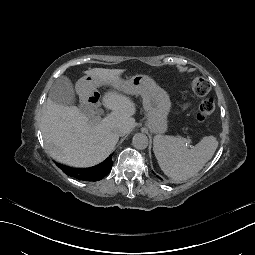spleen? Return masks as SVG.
I'll return each instance as SVG.
<instances>
[{
    "instance_id": "spleen-1",
    "label": "spleen",
    "mask_w": 255,
    "mask_h": 255,
    "mask_svg": "<svg viewBox=\"0 0 255 255\" xmlns=\"http://www.w3.org/2000/svg\"><path fill=\"white\" fill-rule=\"evenodd\" d=\"M218 142L212 135L204 137L191 149L182 139L155 136L153 151L160 169L165 175L183 181L192 177L211 159Z\"/></svg>"
}]
</instances>
